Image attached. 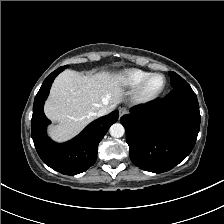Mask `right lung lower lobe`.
<instances>
[{"label":"right lung lower lobe","instance_id":"right-lung-lower-lobe-1","mask_svg":"<svg viewBox=\"0 0 224 224\" xmlns=\"http://www.w3.org/2000/svg\"><path fill=\"white\" fill-rule=\"evenodd\" d=\"M64 66L52 72L43 82L33 105L31 136L42 161L50 168L66 175H76L91 167L97 158L99 142L109 127L118 120L119 112L113 111L89 124L78 136L63 144L53 142L46 135L50 121L43 112L44 102L55 77Z\"/></svg>","mask_w":224,"mask_h":224}]
</instances>
